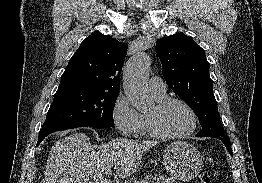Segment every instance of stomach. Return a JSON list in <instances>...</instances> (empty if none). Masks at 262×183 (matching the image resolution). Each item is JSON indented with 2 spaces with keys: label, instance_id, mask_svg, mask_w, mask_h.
Returning <instances> with one entry per match:
<instances>
[{
  "label": "stomach",
  "instance_id": "stomach-1",
  "mask_svg": "<svg viewBox=\"0 0 262 183\" xmlns=\"http://www.w3.org/2000/svg\"><path fill=\"white\" fill-rule=\"evenodd\" d=\"M163 164L172 178L186 181L200 172L202 155L192 144L175 141L166 146L163 152Z\"/></svg>",
  "mask_w": 262,
  "mask_h": 183
}]
</instances>
